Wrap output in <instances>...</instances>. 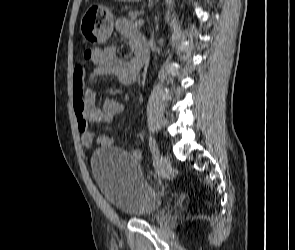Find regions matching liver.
I'll use <instances>...</instances> for the list:
<instances>
[{"label": "liver", "mask_w": 295, "mask_h": 250, "mask_svg": "<svg viewBox=\"0 0 295 250\" xmlns=\"http://www.w3.org/2000/svg\"><path fill=\"white\" fill-rule=\"evenodd\" d=\"M119 1H129V2L130 1H133L134 2L135 1V2H139L140 0H119Z\"/></svg>", "instance_id": "6515ba94"}]
</instances>
